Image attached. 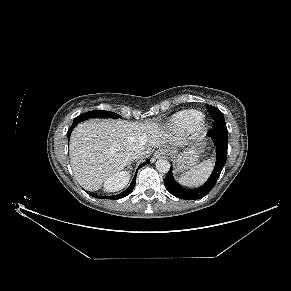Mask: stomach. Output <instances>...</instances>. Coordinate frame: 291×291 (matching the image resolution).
Segmentation results:
<instances>
[{
	"instance_id": "obj_1",
	"label": "stomach",
	"mask_w": 291,
	"mask_h": 291,
	"mask_svg": "<svg viewBox=\"0 0 291 291\" xmlns=\"http://www.w3.org/2000/svg\"><path fill=\"white\" fill-rule=\"evenodd\" d=\"M169 154L174 159L176 172H184L194 166L198 161V151L194 148L183 151L170 150Z\"/></svg>"
}]
</instances>
